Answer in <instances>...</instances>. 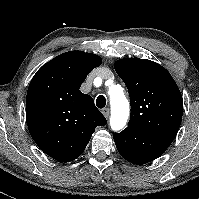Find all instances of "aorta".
<instances>
[{
  "instance_id": "762f6f07",
  "label": "aorta",
  "mask_w": 199,
  "mask_h": 199,
  "mask_svg": "<svg viewBox=\"0 0 199 199\" xmlns=\"http://www.w3.org/2000/svg\"><path fill=\"white\" fill-rule=\"evenodd\" d=\"M109 95L112 110L110 125L114 131H119L126 125L129 116V102L119 84H111Z\"/></svg>"
}]
</instances>
